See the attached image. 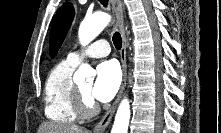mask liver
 Wrapping results in <instances>:
<instances>
[{"mask_svg": "<svg viewBox=\"0 0 221 133\" xmlns=\"http://www.w3.org/2000/svg\"><path fill=\"white\" fill-rule=\"evenodd\" d=\"M38 133H90V131L77 126L46 122L40 125Z\"/></svg>", "mask_w": 221, "mask_h": 133, "instance_id": "6515ba94", "label": "liver"}]
</instances>
